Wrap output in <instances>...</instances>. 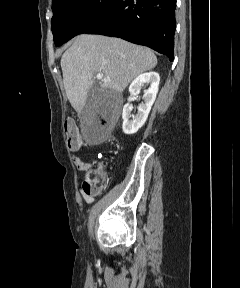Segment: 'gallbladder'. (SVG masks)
I'll list each match as a JSON object with an SVG mask.
<instances>
[{
    "label": "gallbladder",
    "instance_id": "bac80fb5",
    "mask_svg": "<svg viewBox=\"0 0 240 288\" xmlns=\"http://www.w3.org/2000/svg\"><path fill=\"white\" fill-rule=\"evenodd\" d=\"M114 105L107 90L100 87H94L87 97V103L80 113L83 124L93 119L97 115H101L108 119L113 114Z\"/></svg>",
    "mask_w": 240,
    "mask_h": 288
}]
</instances>
